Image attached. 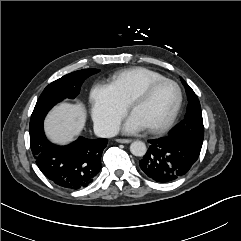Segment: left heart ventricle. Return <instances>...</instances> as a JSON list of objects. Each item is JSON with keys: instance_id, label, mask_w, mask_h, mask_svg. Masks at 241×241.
<instances>
[{"instance_id": "1", "label": "left heart ventricle", "mask_w": 241, "mask_h": 241, "mask_svg": "<svg viewBox=\"0 0 241 241\" xmlns=\"http://www.w3.org/2000/svg\"><path fill=\"white\" fill-rule=\"evenodd\" d=\"M177 100L176 87L165 83L157 87L146 101L136 106L132 114L146 127L160 126L171 117Z\"/></svg>"}]
</instances>
